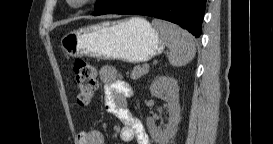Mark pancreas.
<instances>
[{
  "instance_id": "pancreas-1",
  "label": "pancreas",
  "mask_w": 273,
  "mask_h": 144,
  "mask_svg": "<svg viewBox=\"0 0 273 144\" xmlns=\"http://www.w3.org/2000/svg\"><path fill=\"white\" fill-rule=\"evenodd\" d=\"M147 73H148V69L146 68L145 65L143 66L137 65L131 71V78L136 80Z\"/></svg>"
}]
</instances>
